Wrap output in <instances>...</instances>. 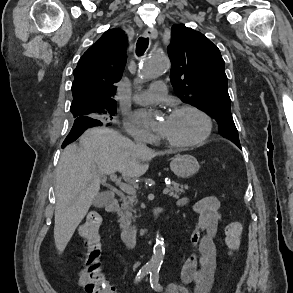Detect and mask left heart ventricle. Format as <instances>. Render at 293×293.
Returning <instances> with one entry per match:
<instances>
[{
	"label": "left heart ventricle",
	"mask_w": 293,
	"mask_h": 293,
	"mask_svg": "<svg viewBox=\"0 0 293 293\" xmlns=\"http://www.w3.org/2000/svg\"><path fill=\"white\" fill-rule=\"evenodd\" d=\"M161 136L176 142H189L200 137L204 131L202 118L194 112L183 111L167 116Z\"/></svg>",
	"instance_id": "1"
}]
</instances>
